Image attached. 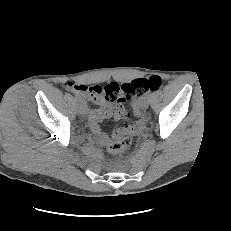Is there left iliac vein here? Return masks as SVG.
<instances>
[{
  "label": "left iliac vein",
  "mask_w": 231,
  "mask_h": 231,
  "mask_svg": "<svg viewBox=\"0 0 231 231\" xmlns=\"http://www.w3.org/2000/svg\"><path fill=\"white\" fill-rule=\"evenodd\" d=\"M149 105V100L147 97H143L140 101V107L141 109H147Z\"/></svg>",
  "instance_id": "left-iliac-vein-1"
}]
</instances>
